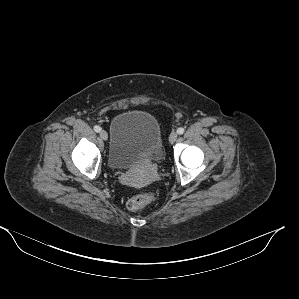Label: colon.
Segmentation results:
<instances>
[{
	"label": "colon",
	"mask_w": 299,
	"mask_h": 299,
	"mask_svg": "<svg viewBox=\"0 0 299 299\" xmlns=\"http://www.w3.org/2000/svg\"><path fill=\"white\" fill-rule=\"evenodd\" d=\"M155 197V193L135 195L127 201L126 206L131 211H137L145 205L151 203Z\"/></svg>",
	"instance_id": "obj_1"
}]
</instances>
